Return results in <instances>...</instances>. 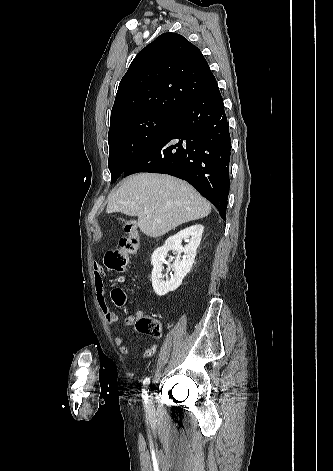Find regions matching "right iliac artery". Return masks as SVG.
Wrapping results in <instances>:
<instances>
[{
	"instance_id": "obj_1",
	"label": "right iliac artery",
	"mask_w": 333,
	"mask_h": 471,
	"mask_svg": "<svg viewBox=\"0 0 333 471\" xmlns=\"http://www.w3.org/2000/svg\"><path fill=\"white\" fill-rule=\"evenodd\" d=\"M149 383H150V378L149 377L145 378L143 381V388H142V397L145 404H147V400H148L147 392H148Z\"/></svg>"
}]
</instances>
